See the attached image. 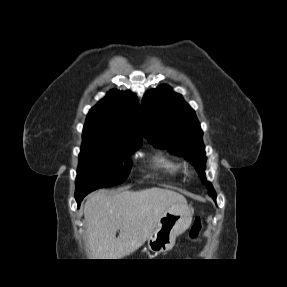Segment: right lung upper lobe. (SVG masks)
<instances>
[{
  "label": "right lung upper lobe",
  "instance_id": "right-lung-upper-lobe-1",
  "mask_svg": "<svg viewBox=\"0 0 287 287\" xmlns=\"http://www.w3.org/2000/svg\"><path fill=\"white\" fill-rule=\"evenodd\" d=\"M138 118L139 103L136 96L130 91L111 90L89 111L83 137L139 143L142 136Z\"/></svg>",
  "mask_w": 287,
  "mask_h": 287
}]
</instances>
